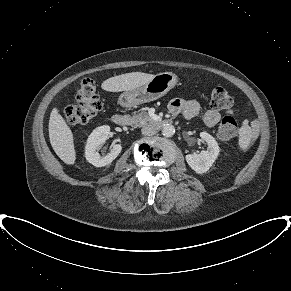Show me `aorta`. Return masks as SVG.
<instances>
[{
  "label": "aorta",
  "mask_w": 291,
  "mask_h": 291,
  "mask_svg": "<svg viewBox=\"0 0 291 291\" xmlns=\"http://www.w3.org/2000/svg\"><path fill=\"white\" fill-rule=\"evenodd\" d=\"M175 133V128L171 124H166L162 128V134L166 137H172Z\"/></svg>",
  "instance_id": "obj_1"
}]
</instances>
